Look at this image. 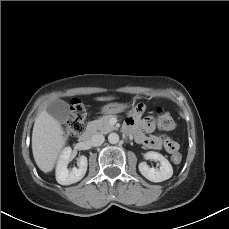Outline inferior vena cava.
Masks as SVG:
<instances>
[{"label": "inferior vena cava", "mask_w": 229, "mask_h": 229, "mask_svg": "<svg viewBox=\"0 0 229 229\" xmlns=\"http://www.w3.org/2000/svg\"><path fill=\"white\" fill-rule=\"evenodd\" d=\"M104 140H105V137L102 134L96 133L92 135L90 141H91L92 146L96 147V146H100L101 144H103Z\"/></svg>", "instance_id": "obj_1"}]
</instances>
